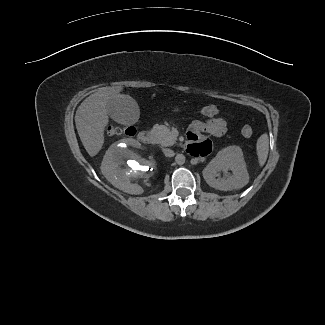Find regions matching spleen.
I'll use <instances>...</instances> for the list:
<instances>
[{"instance_id":"3e777b00","label":"spleen","mask_w":325,"mask_h":325,"mask_svg":"<svg viewBox=\"0 0 325 325\" xmlns=\"http://www.w3.org/2000/svg\"><path fill=\"white\" fill-rule=\"evenodd\" d=\"M256 152L258 156V162L260 167H262L268 157V152H269V137L267 133L262 134L256 144Z\"/></svg>"}]
</instances>
